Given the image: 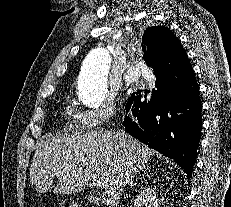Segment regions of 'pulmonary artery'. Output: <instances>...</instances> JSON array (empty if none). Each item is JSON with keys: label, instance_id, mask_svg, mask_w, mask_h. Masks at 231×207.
<instances>
[{"label": "pulmonary artery", "instance_id": "1", "mask_svg": "<svg viewBox=\"0 0 231 207\" xmlns=\"http://www.w3.org/2000/svg\"><path fill=\"white\" fill-rule=\"evenodd\" d=\"M140 76L139 72L133 73V68H129L128 72L123 76V82L130 84Z\"/></svg>", "mask_w": 231, "mask_h": 207}]
</instances>
